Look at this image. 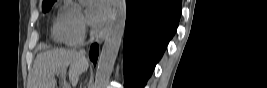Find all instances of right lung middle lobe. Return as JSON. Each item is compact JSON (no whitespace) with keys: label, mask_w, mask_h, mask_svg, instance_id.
Returning <instances> with one entry per match:
<instances>
[{"label":"right lung middle lobe","mask_w":267,"mask_h":88,"mask_svg":"<svg viewBox=\"0 0 267 88\" xmlns=\"http://www.w3.org/2000/svg\"><path fill=\"white\" fill-rule=\"evenodd\" d=\"M54 2H55V0H50V1H47V2H43V4H42L43 12L49 11V9L52 7Z\"/></svg>","instance_id":"dd1d6c3e"}]
</instances>
